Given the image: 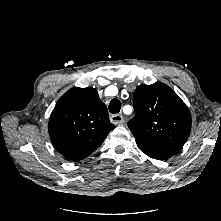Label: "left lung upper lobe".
Segmentation results:
<instances>
[{"label": "left lung upper lobe", "instance_id": "obj_1", "mask_svg": "<svg viewBox=\"0 0 221 221\" xmlns=\"http://www.w3.org/2000/svg\"><path fill=\"white\" fill-rule=\"evenodd\" d=\"M135 117L128 122L137 146L148 156L167 159L178 153L191 129V115L167 85H140L133 95Z\"/></svg>", "mask_w": 221, "mask_h": 221}]
</instances>
